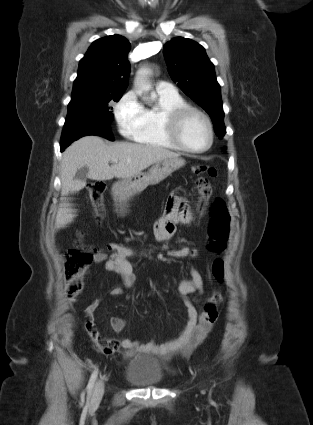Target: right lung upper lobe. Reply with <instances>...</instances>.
Listing matches in <instances>:
<instances>
[{
    "instance_id": "cb5924a9",
    "label": "right lung upper lobe",
    "mask_w": 313,
    "mask_h": 425,
    "mask_svg": "<svg viewBox=\"0 0 313 425\" xmlns=\"http://www.w3.org/2000/svg\"><path fill=\"white\" fill-rule=\"evenodd\" d=\"M130 48L129 41L120 35L94 41L79 62L72 97L124 93L130 73Z\"/></svg>"
}]
</instances>
